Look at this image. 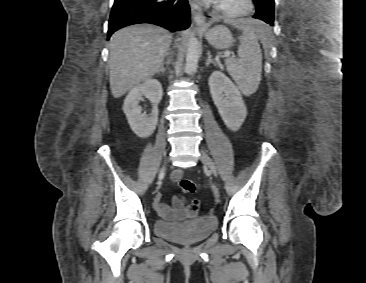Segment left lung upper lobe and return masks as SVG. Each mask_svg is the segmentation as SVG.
<instances>
[{"label": "left lung upper lobe", "mask_w": 366, "mask_h": 283, "mask_svg": "<svg viewBox=\"0 0 366 283\" xmlns=\"http://www.w3.org/2000/svg\"><path fill=\"white\" fill-rule=\"evenodd\" d=\"M256 5L255 17L273 26L274 0H253Z\"/></svg>", "instance_id": "left-lung-upper-lobe-1"}]
</instances>
